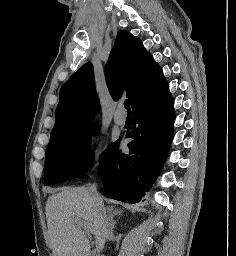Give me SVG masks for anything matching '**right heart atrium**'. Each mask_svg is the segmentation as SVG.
<instances>
[{"label":"right heart atrium","mask_w":236,"mask_h":256,"mask_svg":"<svg viewBox=\"0 0 236 256\" xmlns=\"http://www.w3.org/2000/svg\"><path fill=\"white\" fill-rule=\"evenodd\" d=\"M89 157L92 163L98 162L100 157V147L98 144H95L91 147Z\"/></svg>","instance_id":"right-heart-atrium-1"}]
</instances>
